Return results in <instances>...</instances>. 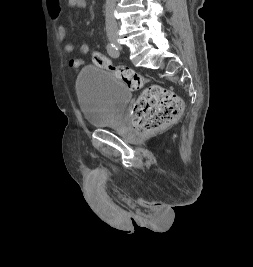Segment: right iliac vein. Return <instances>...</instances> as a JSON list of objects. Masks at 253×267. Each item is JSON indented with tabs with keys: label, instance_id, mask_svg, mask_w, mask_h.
<instances>
[{
	"label": "right iliac vein",
	"instance_id": "63e3f726",
	"mask_svg": "<svg viewBox=\"0 0 253 267\" xmlns=\"http://www.w3.org/2000/svg\"><path fill=\"white\" fill-rule=\"evenodd\" d=\"M109 39L112 43L117 44V38L115 36H111Z\"/></svg>",
	"mask_w": 253,
	"mask_h": 267
}]
</instances>
